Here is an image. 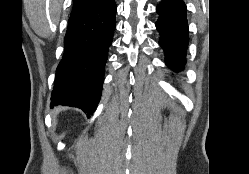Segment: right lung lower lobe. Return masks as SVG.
<instances>
[{
    "mask_svg": "<svg viewBox=\"0 0 249 174\" xmlns=\"http://www.w3.org/2000/svg\"><path fill=\"white\" fill-rule=\"evenodd\" d=\"M114 0H97L74 9L57 67L51 107L67 105L94 113L102 93L104 67L116 26Z\"/></svg>",
    "mask_w": 249,
    "mask_h": 174,
    "instance_id": "1",
    "label": "right lung lower lobe"
}]
</instances>
